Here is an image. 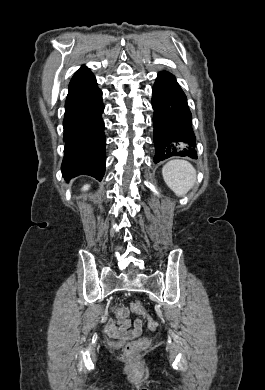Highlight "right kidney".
Wrapping results in <instances>:
<instances>
[{
	"label": "right kidney",
	"instance_id": "1",
	"mask_svg": "<svg viewBox=\"0 0 265 390\" xmlns=\"http://www.w3.org/2000/svg\"><path fill=\"white\" fill-rule=\"evenodd\" d=\"M88 189H89V185H84L83 188H82L83 191H86Z\"/></svg>",
	"mask_w": 265,
	"mask_h": 390
}]
</instances>
